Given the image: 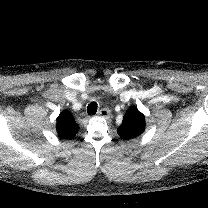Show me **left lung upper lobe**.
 <instances>
[{"label": "left lung upper lobe", "instance_id": "1", "mask_svg": "<svg viewBox=\"0 0 208 208\" xmlns=\"http://www.w3.org/2000/svg\"><path fill=\"white\" fill-rule=\"evenodd\" d=\"M145 129V117L133 106L127 110L123 117L122 124L118 127L117 133L125 140L135 138L142 134Z\"/></svg>", "mask_w": 208, "mask_h": 208}]
</instances>
